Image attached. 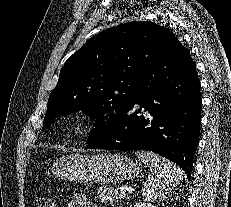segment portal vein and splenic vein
Returning a JSON list of instances; mask_svg holds the SVG:
<instances>
[{"label": "portal vein and splenic vein", "instance_id": "18ae733b", "mask_svg": "<svg viewBox=\"0 0 231 207\" xmlns=\"http://www.w3.org/2000/svg\"><path fill=\"white\" fill-rule=\"evenodd\" d=\"M118 195H119V197L122 198V197H124L126 195V192L122 190V191L119 192Z\"/></svg>", "mask_w": 231, "mask_h": 207}]
</instances>
